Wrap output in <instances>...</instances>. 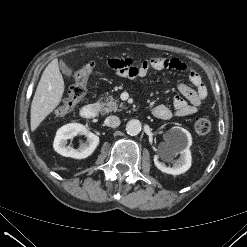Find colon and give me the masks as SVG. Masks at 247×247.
Here are the masks:
<instances>
[{"label": "colon", "mask_w": 247, "mask_h": 247, "mask_svg": "<svg viewBox=\"0 0 247 247\" xmlns=\"http://www.w3.org/2000/svg\"><path fill=\"white\" fill-rule=\"evenodd\" d=\"M92 63L85 64L78 69L72 77V84L68 90L67 98L56 110L57 114L65 115L69 113L85 96L86 85L93 71ZM194 130L199 135H205L211 130V122L205 117H200L195 120Z\"/></svg>", "instance_id": "1"}]
</instances>
